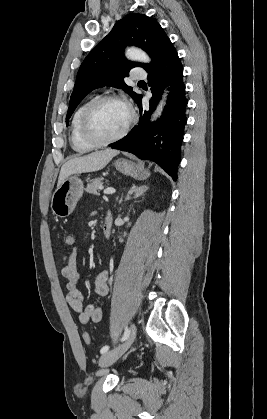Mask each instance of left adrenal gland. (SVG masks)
Listing matches in <instances>:
<instances>
[{
  "label": "left adrenal gland",
  "mask_w": 267,
  "mask_h": 419,
  "mask_svg": "<svg viewBox=\"0 0 267 419\" xmlns=\"http://www.w3.org/2000/svg\"><path fill=\"white\" fill-rule=\"evenodd\" d=\"M147 190H148V187L145 185L139 186L137 188H133L128 192L126 196V200H129L131 198V195H133V198H138L141 195H143L144 192H146Z\"/></svg>",
  "instance_id": "left-adrenal-gland-1"
}]
</instances>
